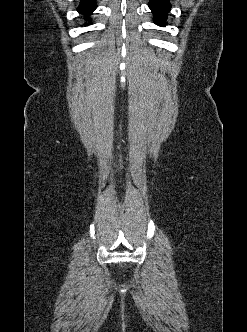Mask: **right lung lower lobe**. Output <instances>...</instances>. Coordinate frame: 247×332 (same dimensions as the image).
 I'll return each mask as SVG.
<instances>
[{
	"mask_svg": "<svg viewBox=\"0 0 247 332\" xmlns=\"http://www.w3.org/2000/svg\"><path fill=\"white\" fill-rule=\"evenodd\" d=\"M97 8L96 0H80V5L77 8V11L80 14H83V17L87 19L88 22H91L89 15H92V12ZM90 23L84 24V26L89 25Z\"/></svg>",
	"mask_w": 247,
	"mask_h": 332,
	"instance_id": "obj_1",
	"label": "right lung lower lobe"
}]
</instances>
